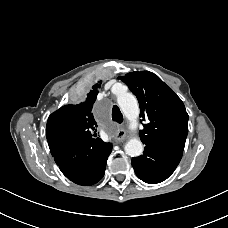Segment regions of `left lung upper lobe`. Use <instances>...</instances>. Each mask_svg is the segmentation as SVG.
Listing matches in <instances>:
<instances>
[{"mask_svg": "<svg viewBox=\"0 0 228 228\" xmlns=\"http://www.w3.org/2000/svg\"><path fill=\"white\" fill-rule=\"evenodd\" d=\"M140 105V117L147 124L139 135L143 144L161 143L184 149L188 119L181 99L157 75L149 71L120 76ZM142 122V121H141Z\"/></svg>", "mask_w": 228, "mask_h": 228, "instance_id": "obj_1", "label": "left lung upper lobe"}]
</instances>
